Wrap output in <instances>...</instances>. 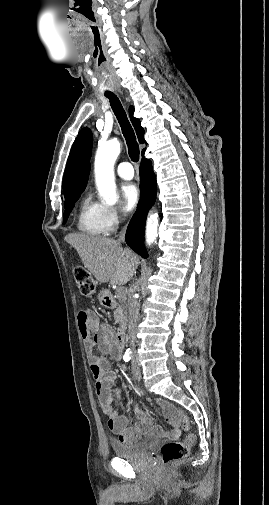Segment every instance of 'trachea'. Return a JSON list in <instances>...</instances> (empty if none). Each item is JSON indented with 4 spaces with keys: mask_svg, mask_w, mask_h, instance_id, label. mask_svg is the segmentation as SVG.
<instances>
[{
    "mask_svg": "<svg viewBox=\"0 0 269 505\" xmlns=\"http://www.w3.org/2000/svg\"><path fill=\"white\" fill-rule=\"evenodd\" d=\"M105 96L110 100V105L120 124L123 136L128 146L129 156L133 162H137L140 154L139 145L136 140L134 130L127 118L126 112L123 109L119 98L114 93L106 92Z\"/></svg>",
    "mask_w": 269,
    "mask_h": 505,
    "instance_id": "3493384b",
    "label": "trachea"
}]
</instances>
